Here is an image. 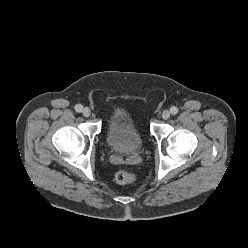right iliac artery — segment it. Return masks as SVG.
Returning a JSON list of instances; mask_svg holds the SVG:
<instances>
[{
    "mask_svg": "<svg viewBox=\"0 0 248 248\" xmlns=\"http://www.w3.org/2000/svg\"><path fill=\"white\" fill-rule=\"evenodd\" d=\"M75 110H76L77 112H82L83 106H82L81 104H77V105L75 106Z\"/></svg>",
    "mask_w": 248,
    "mask_h": 248,
    "instance_id": "82829eb1",
    "label": "right iliac artery"
}]
</instances>
